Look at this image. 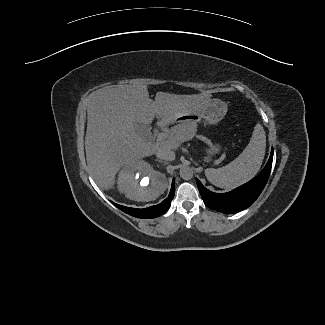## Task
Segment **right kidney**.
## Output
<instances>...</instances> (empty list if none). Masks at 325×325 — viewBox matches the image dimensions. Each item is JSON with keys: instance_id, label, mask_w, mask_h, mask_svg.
Returning a JSON list of instances; mask_svg holds the SVG:
<instances>
[{"instance_id": "1", "label": "right kidney", "mask_w": 325, "mask_h": 325, "mask_svg": "<svg viewBox=\"0 0 325 325\" xmlns=\"http://www.w3.org/2000/svg\"><path fill=\"white\" fill-rule=\"evenodd\" d=\"M166 187L165 175L145 161L129 164L119 173L118 190L135 201L155 200Z\"/></svg>"}]
</instances>
